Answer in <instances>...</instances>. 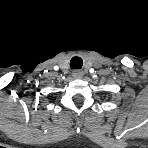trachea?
<instances>
[{"instance_id": "1", "label": "trachea", "mask_w": 148, "mask_h": 148, "mask_svg": "<svg viewBox=\"0 0 148 148\" xmlns=\"http://www.w3.org/2000/svg\"><path fill=\"white\" fill-rule=\"evenodd\" d=\"M83 65V60L80 57H73L70 61V67L72 69H80Z\"/></svg>"}]
</instances>
